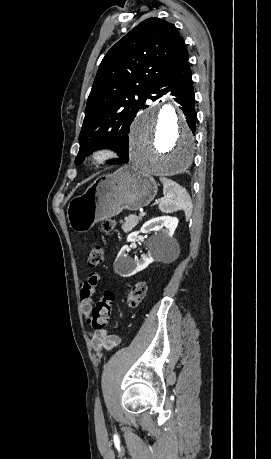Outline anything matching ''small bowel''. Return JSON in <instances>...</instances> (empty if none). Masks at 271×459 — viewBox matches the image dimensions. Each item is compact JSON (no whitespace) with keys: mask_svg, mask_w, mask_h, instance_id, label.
<instances>
[{"mask_svg":"<svg viewBox=\"0 0 271 459\" xmlns=\"http://www.w3.org/2000/svg\"><path fill=\"white\" fill-rule=\"evenodd\" d=\"M100 281L101 276L98 273H91L81 283V310L86 318L89 317L93 308V295ZM89 336L92 347L97 353L110 351L120 343V338L118 336L110 334L104 329L89 331Z\"/></svg>","mask_w":271,"mask_h":459,"instance_id":"obj_1","label":"small bowel"}]
</instances>
